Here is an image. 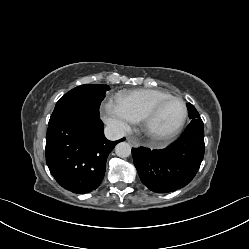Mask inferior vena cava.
<instances>
[{"label": "inferior vena cava", "mask_w": 249, "mask_h": 249, "mask_svg": "<svg viewBox=\"0 0 249 249\" xmlns=\"http://www.w3.org/2000/svg\"><path fill=\"white\" fill-rule=\"evenodd\" d=\"M105 136L108 140H119L125 136V131L117 125H107L104 129Z\"/></svg>", "instance_id": "602c4592"}]
</instances>
